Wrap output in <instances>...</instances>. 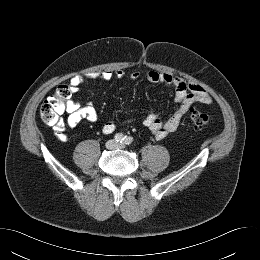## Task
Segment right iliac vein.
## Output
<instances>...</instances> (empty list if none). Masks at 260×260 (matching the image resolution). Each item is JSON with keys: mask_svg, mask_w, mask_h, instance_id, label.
Wrapping results in <instances>:
<instances>
[{"mask_svg": "<svg viewBox=\"0 0 260 260\" xmlns=\"http://www.w3.org/2000/svg\"><path fill=\"white\" fill-rule=\"evenodd\" d=\"M116 146V143L113 140H110L106 143L108 149H113Z\"/></svg>", "mask_w": 260, "mask_h": 260, "instance_id": "1", "label": "right iliac vein"}]
</instances>
